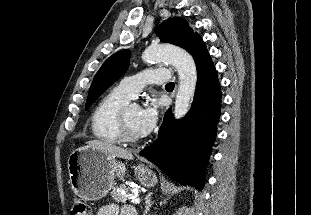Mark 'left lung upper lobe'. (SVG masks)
Instances as JSON below:
<instances>
[{
	"instance_id": "5c2ea615",
	"label": "left lung upper lobe",
	"mask_w": 311,
	"mask_h": 215,
	"mask_svg": "<svg viewBox=\"0 0 311 215\" xmlns=\"http://www.w3.org/2000/svg\"><path fill=\"white\" fill-rule=\"evenodd\" d=\"M161 42L171 43L188 51L200 36L193 33L186 20L179 17L168 18L156 27ZM130 52L122 50L110 56L96 73L89 90L86 109L116 80L124 75L129 66Z\"/></svg>"
}]
</instances>
